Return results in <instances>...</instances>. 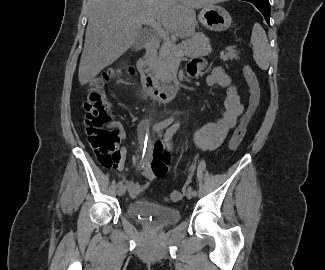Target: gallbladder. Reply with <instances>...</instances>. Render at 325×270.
Instances as JSON below:
<instances>
[{
  "mask_svg": "<svg viewBox=\"0 0 325 270\" xmlns=\"http://www.w3.org/2000/svg\"><path fill=\"white\" fill-rule=\"evenodd\" d=\"M151 38L152 35L150 32L147 30H142L141 33L136 37L133 48L136 50L144 48L146 43L149 42Z\"/></svg>",
  "mask_w": 325,
  "mask_h": 270,
  "instance_id": "1",
  "label": "gallbladder"
}]
</instances>
